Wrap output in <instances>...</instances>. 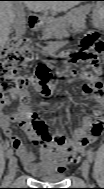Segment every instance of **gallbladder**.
<instances>
[{
  "mask_svg": "<svg viewBox=\"0 0 104 189\" xmlns=\"http://www.w3.org/2000/svg\"><path fill=\"white\" fill-rule=\"evenodd\" d=\"M13 9L16 12V18L12 23V29L16 34L22 35L26 31L25 5L21 2H13Z\"/></svg>",
  "mask_w": 104,
  "mask_h": 189,
  "instance_id": "bac80fb5",
  "label": "gallbladder"
}]
</instances>
